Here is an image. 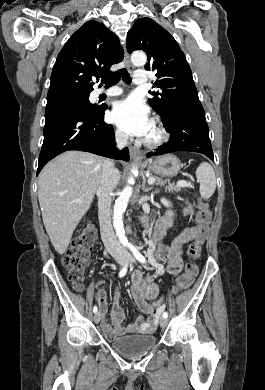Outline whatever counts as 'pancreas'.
<instances>
[{
	"label": "pancreas",
	"instance_id": "1",
	"mask_svg": "<svg viewBox=\"0 0 265 390\" xmlns=\"http://www.w3.org/2000/svg\"><path fill=\"white\" fill-rule=\"evenodd\" d=\"M155 180H156V184L157 185L163 186V185L166 184L167 185L166 189L169 190V191L178 192V191L181 190V188L186 187V186L180 185L179 183L174 184V183H171L170 180H163L162 178H158V177H156ZM187 184H188V186L191 187L190 183H187Z\"/></svg>",
	"mask_w": 265,
	"mask_h": 390
}]
</instances>
